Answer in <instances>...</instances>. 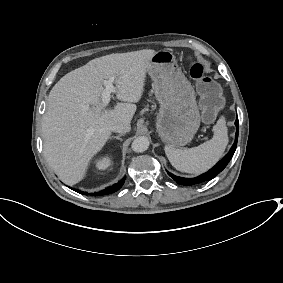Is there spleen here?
<instances>
[{
  "instance_id": "spleen-1",
  "label": "spleen",
  "mask_w": 283,
  "mask_h": 283,
  "mask_svg": "<svg viewBox=\"0 0 283 283\" xmlns=\"http://www.w3.org/2000/svg\"><path fill=\"white\" fill-rule=\"evenodd\" d=\"M213 138L205 143L181 150L166 145L164 150L173 167L181 172L200 174L213 167L223 156L229 142L226 120L221 116L213 126Z\"/></svg>"
}]
</instances>
